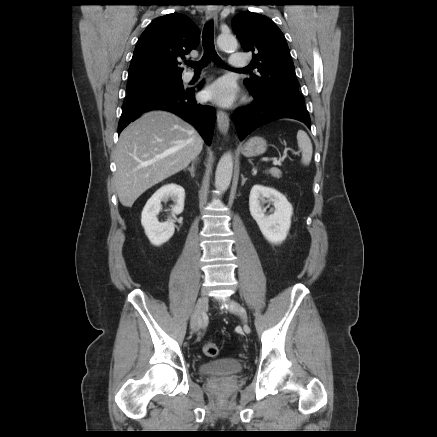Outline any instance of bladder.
<instances>
[{
	"label": "bladder",
	"mask_w": 437,
	"mask_h": 437,
	"mask_svg": "<svg viewBox=\"0 0 437 437\" xmlns=\"http://www.w3.org/2000/svg\"><path fill=\"white\" fill-rule=\"evenodd\" d=\"M202 376H231L243 371V364L235 358H220L202 363L199 366Z\"/></svg>",
	"instance_id": "31cf9c89"
}]
</instances>
